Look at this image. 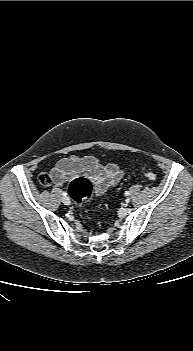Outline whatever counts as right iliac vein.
I'll list each match as a JSON object with an SVG mask.
<instances>
[{
    "label": "right iliac vein",
    "mask_w": 193,
    "mask_h": 351,
    "mask_svg": "<svg viewBox=\"0 0 193 351\" xmlns=\"http://www.w3.org/2000/svg\"><path fill=\"white\" fill-rule=\"evenodd\" d=\"M62 201L65 205H69L71 203L69 197H64Z\"/></svg>",
    "instance_id": "1"
}]
</instances>
